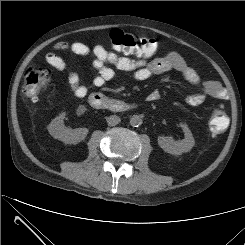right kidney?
Wrapping results in <instances>:
<instances>
[{"label":"right kidney","instance_id":"right-kidney-1","mask_svg":"<svg viewBox=\"0 0 245 245\" xmlns=\"http://www.w3.org/2000/svg\"><path fill=\"white\" fill-rule=\"evenodd\" d=\"M65 113L60 114L48 125V131L52 137L67 144H77L85 139L88 134L87 128L70 129L65 127Z\"/></svg>","mask_w":245,"mask_h":245}]
</instances>
